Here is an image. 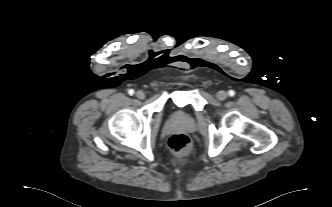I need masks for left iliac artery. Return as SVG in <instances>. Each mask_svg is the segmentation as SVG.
<instances>
[{"mask_svg": "<svg viewBox=\"0 0 332 207\" xmlns=\"http://www.w3.org/2000/svg\"><path fill=\"white\" fill-rule=\"evenodd\" d=\"M228 93H229V96H231V97L235 95V91L234 90H229Z\"/></svg>", "mask_w": 332, "mask_h": 207, "instance_id": "obj_1", "label": "left iliac artery"}]
</instances>
